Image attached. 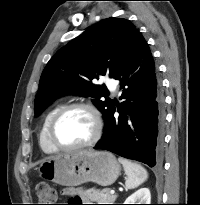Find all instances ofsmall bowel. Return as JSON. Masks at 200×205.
Wrapping results in <instances>:
<instances>
[{"label":"small bowel","mask_w":200,"mask_h":205,"mask_svg":"<svg viewBox=\"0 0 200 205\" xmlns=\"http://www.w3.org/2000/svg\"><path fill=\"white\" fill-rule=\"evenodd\" d=\"M62 194L63 195H68V196H73V204L72 205H75L74 203L77 202L79 200V196L77 194V191L73 188H65L62 190Z\"/></svg>","instance_id":"1"}]
</instances>
